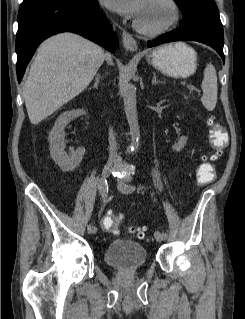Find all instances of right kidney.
Segmentation results:
<instances>
[{
	"label": "right kidney",
	"mask_w": 245,
	"mask_h": 319,
	"mask_svg": "<svg viewBox=\"0 0 245 319\" xmlns=\"http://www.w3.org/2000/svg\"><path fill=\"white\" fill-rule=\"evenodd\" d=\"M84 114H86V111L83 109H76L62 113L57 118L54 127L49 133L48 141L50 144L51 157L63 171L69 172L77 168L85 154L84 148H78L76 151L70 149V155H67L64 151L66 143L64 132L65 127L71 120Z\"/></svg>",
	"instance_id": "ca27d5eb"
}]
</instances>
